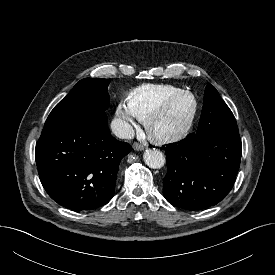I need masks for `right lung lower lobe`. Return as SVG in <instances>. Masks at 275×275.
Masks as SVG:
<instances>
[{
    "label": "right lung lower lobe",
    "instance_id": "1",
    "mask_svg": "<svg viewBox=\"0 0 275 275\" xmlns=\"http://www.w3.org/2000/svg\"><path fill=\"white\" fill-rule=\"evenodd\" d=\"M130 149L110 134L104 112L85 123L43 129L35 158L49 196L65 208L82 211L112 199L119 162Z\"/></svg>",
    "mask_w": 275,
    "mask_h": 275
}]
</instances>
